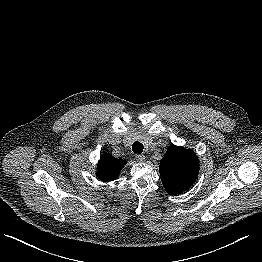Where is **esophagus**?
<instances>
[{
	"label": "esophagus",
	"mask_w": 262,
	"mask_h": 262,
	"mask_svg": "<svg viewBox=\"0 0 262 262\" xmlns=\"http://www.w3.org/2000/svg\"><path fill=\"white\" fill-rule=\"evenodd\" d=\"M135 158L138 162H144L146 160V157L143 154H137Z\"/></svg>",
	"instance_id": "34e87169"
}]
</instances>
